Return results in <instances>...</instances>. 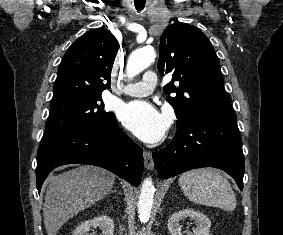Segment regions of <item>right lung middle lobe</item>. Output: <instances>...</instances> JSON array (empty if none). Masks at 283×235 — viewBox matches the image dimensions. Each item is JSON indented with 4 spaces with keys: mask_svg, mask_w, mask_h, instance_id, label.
Returning <instances> with one entry per match:
<instances>
[{
    "mask_svg": "<svg viewBox=\"0 0 283 235\" xmlns=\"http://www.w3.org/2000/svg\"><path fill=\"white\" fill-rule=\"evenodd\" d=\"M99 101L102 102L101 96L71 97L53 102L41 145L108 124L115 115L105 112Z\"/></svg>",
    "mask_w": 283,
    "mask_h": 235,
    "instance_id": "1",
    "label": "right lung middle lobe"
}]
</instances>
